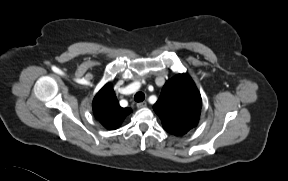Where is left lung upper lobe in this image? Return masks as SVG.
<instances>
[{
	"mask_svg": "<svg viewBox=\"0 0 288 181\" xmlns=\"http://www.w3.org/2000/svg\"><path fill=\"white\" fill-rule=\"evenodd\" d=\"M201 107V95L191 77L178 74L165 83L153 109L163 128L180 136L198 124Z\"/></svg>",
	"mask_w": 288,
	"mask_h": 181,
	"instance_id": "5c2ea615",
	"label": "left lung upper lobe"
}]
</instances>
